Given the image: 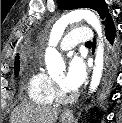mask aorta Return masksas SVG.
Returning <instances> with one entry per match:
<instances>
[{"label": "aorta", "mask_w": 122, "mask_h": 123, "mask_svg": "<svg viewBox=\"0 0 122 123\" xmlns=\"http://www.w3.org/2000/svg\"><path fill=\"white\" fill-rule=\"evenodd\" d=\"M86 20L98 34L97 49L95 56V63L93 68V74L89 87V93L95 92L102 78L104 68V43L102 25L99 18L90 10L80 9L72 11L66 15L60 17L53 25L51 37L49 41V47L45 52V64L49 73H53L56 70L64 68V62L59 52L54 48L61 39L65 28L74 22L80 20Z\"/></svg>", "instance_id": "1"}]
</instances>
